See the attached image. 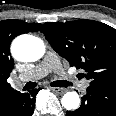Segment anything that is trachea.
Here are the masks:
<instances>
[{"label": "trachea", "instance_id": "trachea-1", "mask_svg": "<svg viewBox=\"0 0 116 116\" xmlns=\"http://www.w3.org/2000/svg\"><path fill=\"white\" fill-rule=\"evenodd\" d=\"M70 84L71 82L64 81V80H56L50 83V85L53 87H68L70 86ZM36 86H37L36 82H28L24 86V90H29V89L35 88Z\"/></svg>", "mask_w": 116, "mask_h": 116}]
</instances>
